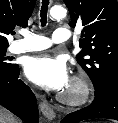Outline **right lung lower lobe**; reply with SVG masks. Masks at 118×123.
<instances>
[{
    "label": "right lung lower lobe",
    "instance_id": "right-lung-lower-lobe-1",
    "mask_svg": "<svg viewBox=\"0 0 118 123\" xmlns=\"http://www.w3.org/2000/svg\"><path fill=\"white\" fill-rule=\"evenodd\" d=\"M19 66L0 71V105L6 107L26 123H38L37 102L31 89L18 78Z\"/></svg>",
    "mask_w": 118,
    "mask_h": 123
}]
</instances>
